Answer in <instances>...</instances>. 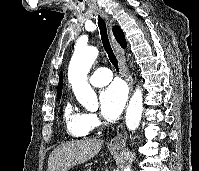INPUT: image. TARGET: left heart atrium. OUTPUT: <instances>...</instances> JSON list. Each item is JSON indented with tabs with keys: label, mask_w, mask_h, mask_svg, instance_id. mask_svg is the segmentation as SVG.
Masks as SVG:
<instances>
[{
	"label": "left heart atrium",
	"mask_w": 199,
	"mask_h": 171,
	"mask_svg": "<svg viewBox=\"0 0 199 171\" xmlns=\"http://www.w3.org/2000/svg\"><path fill=\"white\" fill-rule=\"evenodd\" d=\"M127 100L124 85L114 82L100 93L101 113L109 121H113L121 114Z\"/></svg>",
	"instance_id": "39dd6f15"
}]
</instances>
